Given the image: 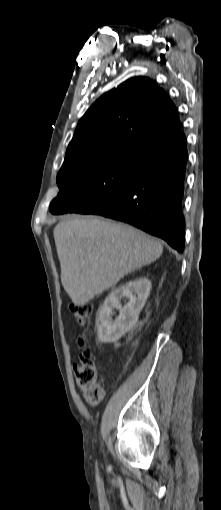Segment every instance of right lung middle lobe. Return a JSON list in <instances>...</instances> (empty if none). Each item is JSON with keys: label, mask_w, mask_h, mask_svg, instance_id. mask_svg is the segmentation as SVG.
Here are the masks:
<instances>
[{"label": "right lung middle lobe", "mask_w": 221, "mask_h": 510, "mask_svg": "<svg viewBox=\"0 0 221 510\" xmlns=\"http://www.w3.org/2000/svg\"><path fill=\"white\" fill-rule=\"evenodd\" d=\"M150 150L136 146L85 154L64 161L58 175V196L52 214L101 206L116 198L131 182Z\"/></svg>", "instance_id": "dd1d6c3e"}]
</instances>
